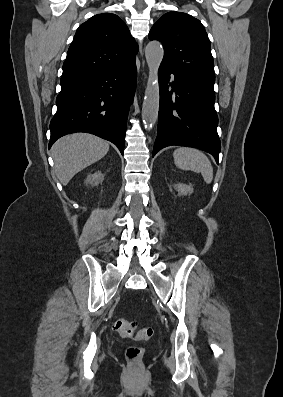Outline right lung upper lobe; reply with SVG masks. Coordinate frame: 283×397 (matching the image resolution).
Masks as SVG:
<instances>
[{
    "mask_svg": "<svg viewBox=\"0 0 283 397\" xmlns=\"http://www.w3.org/2000/svg\"><path fill=\"white\" fill-rule=\"evenodd\" d=\"M138 46L123 20L111 13L91 17L77 30L60 82L122 67L135 60Z\"/></svg>",
    "mask_w": 283,
    "mask_h": 397,
    "instance_id": "obj_1",
    "label": "right lung upper lobe"
}]
</instances>
